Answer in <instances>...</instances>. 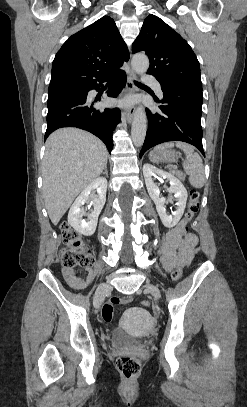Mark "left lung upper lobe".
<instances>
[{"mask_svg":"<svg viewBox=\"0 0 247 407\" xmlns=\"http://www.w3.org/2000/svg\"><path fill=\"white\" fill-rule=\"evenodd\" d=\"M133 53L145 51L150 58L148 74L161 85L202 91L200 66L189 44L162 19L149 15L132 44Z\"/></svg>","mask_w":247,"mask_h":407,"instance_id":"obj_1","label":"left lung upper lobe"}]
</instances>
